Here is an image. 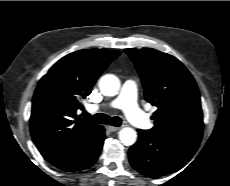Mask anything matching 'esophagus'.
<instances>
[{
  "instance_id": "34e87169",
  "label": "esophagus",
  "mask_w": 230,
  "mask_h": 186,
  "mask_svg": "<svg viewBox=\"0 0 230 186\" xmlns=\"http://www.w3.org/2000/svg\"><path fill=\"white\" fill-rule=\"evenodd\" d=\"M107 129L110 132H116V131L120 130L121 127L108 126Z\"/></svg>"
}]
</instances>
